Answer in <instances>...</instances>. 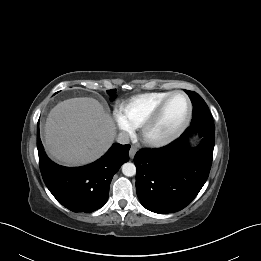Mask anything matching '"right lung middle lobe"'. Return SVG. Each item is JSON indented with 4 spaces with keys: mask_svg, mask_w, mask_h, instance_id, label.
I'll return each mask as SVG.
<instances>
[{
    "mask_svg": "<svg viewBox=\"0 0 261 261\" xmlns=\"http://www.w3.org/2000/svg\"><path fill=\"white\" fill-rule=\"evenodd\" d=\"M116 89L107 90V93L110 95V99L113 100L115 98Z\"/></svg>",
    "mask_w": 261,
    "mask_h": 261,
    "instance_id": "obj_1",
    "label": "right lung middle lobe"
}]
</instances>
